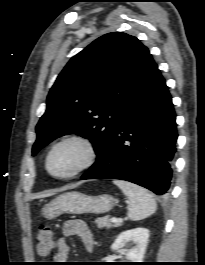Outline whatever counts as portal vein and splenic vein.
Instances as JSON below:
<instances>
[{
	"label": "portal vein and splenic vein",
	"mask_w": 205,
	"mask_h": 265,
	"mask_svg": "<svg viewBox=\"0 0 205 265\" xmlns=\"http://www.w3.org/2000/svg\"><path fill=\"white\" fill-rule=\"evenodd\" d=\"M121 220L120 219H118V218H115V217H112L111 218V222H113V223H119Z\"/></svg>",
	"instance_id": "portal-vein-and-splenic-vein-1"
}]
</instances>
